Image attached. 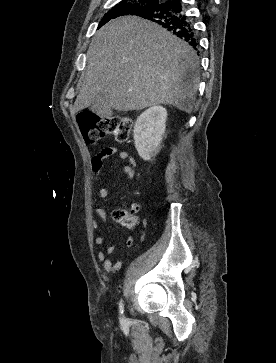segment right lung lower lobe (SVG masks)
Listing matches in <instances>:
<instances>
[{
    "instance_id": "right-lung-lower-lobe-1",
    "label": "right lung lower lobe",
    "mask_w": 276,
    "mask_h": 363,
    "mask_svg": "<svg viewBox=\"0 0 276 363\" xmlns=\"http://www.w3.org/2000/svg\"><path fill=\"white\" fill-rule=\"evenodd\" d=\"M157 3L135 15L161 25L197 50L198 39L190 18L185 15L181 0H159Z\"/></svg>"
}]
</instances>
